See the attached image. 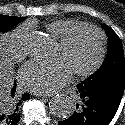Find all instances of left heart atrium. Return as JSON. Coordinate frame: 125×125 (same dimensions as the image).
Wrapping results in <instances>:
<instances>
[{
  "instance_id": "39dd6f15",
  "label": "left heart atrium",
  "mask_w": 125,
  "mask_h": 125,
  "mask_svg": "<svg viewBox=\"0 0 125 125\" xmlns=\"http://www.w3.org/2000/svg\"><path fill=\"white\" fill-rule=\"evenodd\" d=\"M72 73L62 57L52 60H31L20 69L19 81L29 91L47 94L68 83Z\"/></svg>"
}]
</instances>
